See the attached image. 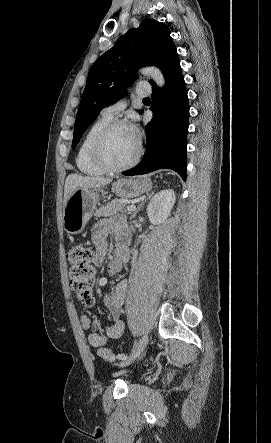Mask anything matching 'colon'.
<instances>
[{"label": "colon", "instance_id": "1", "mask_svg": "<svg viewBox=\"0 0 271 443\" xmlns=\"http://www.w3.org/2000/svg\"><path fill=\"white\" fill-rule=\"evenodd\" d=\"M94 251L88 244H73L67 251L70 264L69 277L75 297L85 306L94 304ZM98 356L106 361H114V353L105 347L99 348Z\"/></svg>", "mask_w": 271, "mask_h": 443}]
</instances>
